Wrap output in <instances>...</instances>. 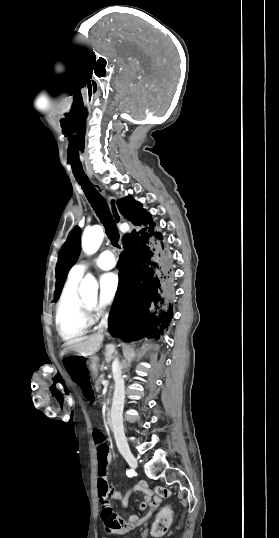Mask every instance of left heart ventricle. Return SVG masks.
Returning <instances> with one entry per match:
<instances>
[{
	"label": "left heart ventricle",
	"instance_id": "1",
	"mask_svg": "<svg viewBox=\"0 0 279 538\" xmlns=\"http://www.w3.org/2000/svg\"><path fill=\"white\" fill-rule=\"evenodd\" d=\"M86 298L91 300V301H96L97 295L86 296Z\"/></svg>",
	"mask_w": 279,
	"mask_h": 538
}]
</instances>
